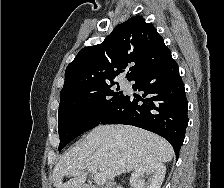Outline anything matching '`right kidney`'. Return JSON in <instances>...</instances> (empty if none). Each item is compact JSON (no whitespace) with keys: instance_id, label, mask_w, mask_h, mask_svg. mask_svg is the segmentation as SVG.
Returning a JSON list of instances; mask_svg holds the SVG:
<instances>
[{"instance_id":"1","label":"right kidney","mask_w":224,"mask_h":188,"mask_svg":"<svg viewBox=\"0 0 224 188\" xmlns=\"http://www.w3.org/2000/svg\"><path fill=\"white\" fill-rule=\"evenodd\" d=\"M166 174V166L161 162H152L136 169L130 177L132 188H161ZM148 178L145 182L144 177Z\"/></svg>"}]
</instances>
